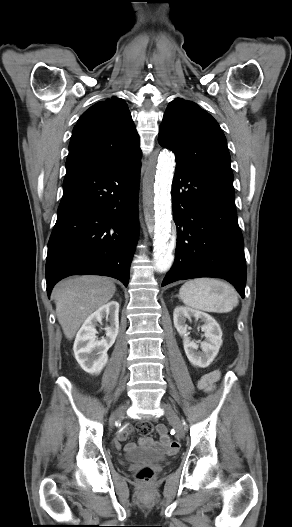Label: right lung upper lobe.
<instances>
[{
	"label": "right lung upper lobe",
	"instance_id": "right-lung-upper-lobe-1",
	"mask_svg": "<svg viewBox=\"0 0 292 527\" xmlns=\"http://www.w3.org/2000/svg\"><path fill=\"white\" fill-rule=\"evenodd\" d=\"M141 155L131 113L121 98L112 97L90 107L75 125L66 171L107 167Z\"/></svg>",
	"mask_w": 292,
	"mask_h": 527
}]
</instances>
